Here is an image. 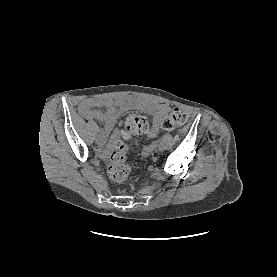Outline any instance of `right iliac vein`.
Wrapping results in <instances>:
<instances>
[{
    "mask_svg": "<svg viewBox=\"0 0 277 277\" xmlns=\"http://www.w3.org/2000/svg\"><path fill=\"white\" fill-rule=\"evenodd\" d=\"M104 138L103 137H97L96 138V143L98 144V145H103L104 144Z\"/></svg>",
    "mask_w": 277,
    "mask_h": 277,
    "instance_id": "obj_1",
    "label": "right iliac vein"
}]
</instances>
